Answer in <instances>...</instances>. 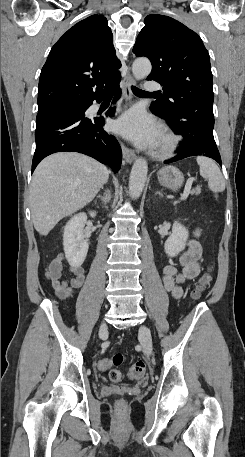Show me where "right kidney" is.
Listing matches in <instances>:
<instances>
[{"mask_svg": "<svg viewBox=\"0 0 245 457\" xmlns=\"http://www.w3.org/2000/svg\"><path fill=\"white\" fill-rule=\"evenodd\" d=\"M89 214L96 216L95 210H90ZM86 222V212H78L64 226L63 247L70 267H81L87 257L88 243L84 241L83 233Z\"/></svg>", "mask_w": 245, "mask_h": 457, "instance_id": "right-kidney-1", "label": "right kidney"}]
</instances>
